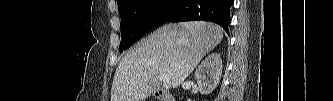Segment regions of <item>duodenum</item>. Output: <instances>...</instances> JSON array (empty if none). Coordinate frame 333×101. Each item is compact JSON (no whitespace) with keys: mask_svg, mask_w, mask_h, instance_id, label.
<instances>
[{"mask_svg":"<svg viewBox=\"0 0 333 101\" xmlns=\"http://www.w3.org/2000/svg\"><path fill=\"white\" fill-rule=\"evenodd\" d=\"M156 96L157 98L160 100V101H175L170 93L166 90H159L157 93H156Z\"/></svg>","mask_w":333,"mask_h":101,"instance_id":"duodenum-1","label":"duodenum"}]
</instances>
